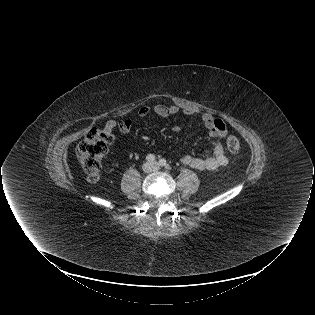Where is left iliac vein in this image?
Instances as JSON below:
<instances>
[{
  "label": "left iliac vein",
  "instance_id": "obj_1",
  "mask_svg": "<svg viewBox=\"0 0 315 315\" xmlns=\"http://www.w3.org/2000/svg\"><path fill=\"white\" fill-rule=\"evenodd\" d=\"M154 165H157L156 162L153 163Z\"/></svg>",
  "mask_w": 315,
  "mask_h": 315
}]
</instances>
